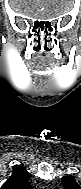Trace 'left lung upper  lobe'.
Listing matches in <instances>:
<instances>
[{
    "instance_id": "5c2ea615",
    "label": "left lung upper lobe",
    "mask_w": 81,
    "mask_h": 189,
    "mask_svg": "<svg viewBox=\"0 0 81 189\" xmlns=\"http://www.w3.org/2000/svg\"><path fill=\"white\" fill-rule=\"evenodd\" d=\"M62 185L65 189H81L73 176H65L61 179Z\"/></svg>"
}]
</instances>
